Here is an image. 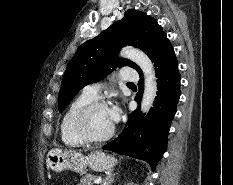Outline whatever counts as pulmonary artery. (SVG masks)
Segmentation results:
<instances>
[{
  "label": "pulmonary artery",
  "mask_w": 233,
  "mask_h": 185,
  "mask_svg": "<svg viewBox=\"0 0 233 185\" xmlns=\"http://www.w3.org/2000/svg\"><path fill=\"white\" fill-rule=\"evenodd\" d=\"M119 78L127 82H136L138 80L137 73L131 68H123L120 71ZM101 83H93L84 87L82 95L89 99H96L101 89Z\"/></svg>",
  "instance_id": "e3ab8cb5"
}]
</instances>
